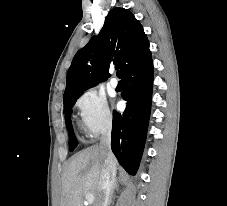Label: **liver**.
<instances>
[{"label":"liver","instance_id":"liver-1","mask_svg":"<svg viewBox=\"0 0 227 206\" xmlns=\"http://www.w3.org/2000/svg\"><path fill=\"white\" fill-rule=\"evenodd\" d=\"M103 163L100 146H91L75 154L63 174L60 206H83L86 193L94 195L93 206H98L102 197Z\"/></svg>","mask_w":227,"mask_h":206}]
</instances>
